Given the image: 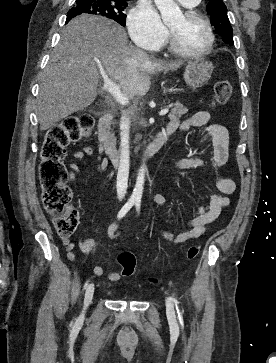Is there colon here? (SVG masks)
<instances>
[{
  "instance_id": "colon-1",
  "label": "colon",
  "mask_w": 276,
  "mask_h": 363,
  "mask_svg": "<svg viewBox=\"0 0 276 363\" xmlns=\"http://www.w3.org/2000/svg\"><path fill=\"white\" fill-rule=\"evenodd\" d=\"M231 94V83L225 80L219 81L214 88L213 105H224ZM93 125L94 118L90 114L68 116L48 129L41 147L39 167L41 199L44 208L53 218L56 233L63 238L70 237L79 224V212L70 205L72 192L67 186L69 174L63 162L66 147L88 136ZM198 252V246L189 247L187 258L194 259ZM119 262L123 267V275L133 274L136 258L132 253H122L119 256Z\"/></svg>"
}]
</instances>
